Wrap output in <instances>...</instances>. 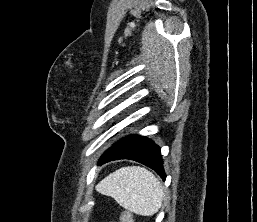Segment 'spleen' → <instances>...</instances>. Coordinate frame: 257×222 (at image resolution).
Listing matches in <instances>:
<instances>
[{
	"label": "spleen",
	"instance_id": "3e777b00",
	"mask_svg": "<svg viewBox=\"0 0 257 222\" xmlns=\"http://www.w3.org/2000/svg\"><path fill=\"white\" fill-rule=\"evenodd\" d=\"M96 191L141 216L158 212L164 197L163 187L155 175L139 166L122 167L109 174L96 185Z\"/></svg>",
	"mask_w": 257,
	"mask_h": 222
}]
</instances>
